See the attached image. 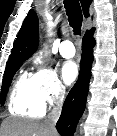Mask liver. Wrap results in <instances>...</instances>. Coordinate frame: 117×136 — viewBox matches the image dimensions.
<instances>
[{
    "mask_svg": "<svg viewBox=\"0 0 117 136\" xmlns=\"http://www.w3.org/2000/svg\"><path fill=\"white\" fill-rule=\"evenodd\" d=\"M3 136H57L45 123L10 117L2 122Z\"/></svg>",
    "mask_w": 117,
    "mask_h": 136,
    "instance_id": "6515ba94",
    "label": "liver"
}]
</instances>
